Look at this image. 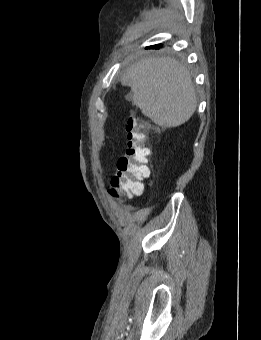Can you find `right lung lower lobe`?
I'll use <instances>...</instances> for the list:
<instances>
[{
	"label": "right lung lower lobe",
	"instance_id": "98d812e1",
	"mask_svg": "<svg viewBox=\"0 0 261 340\" xmlns=\"http://www.w3.org/2000/svg\"><path fill=\"white\" fill-rule=\"evenodd\" d=\"M153 48H160V45H155V46H152Z\"/></svg>",
	"mask_w": 261,
	"mask_h": 340
}]
</instances>
